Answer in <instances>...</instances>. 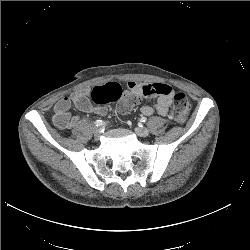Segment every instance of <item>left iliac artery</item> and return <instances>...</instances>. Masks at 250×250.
<instances>
[{"instance_id":"left-iliac-artery-1","label":"left iliac artery","mask_w":250,"mask_h":250,"mask_svg":"<svg viewBox=\"0 0 250 250\" xmlns=\"http://www.w3.org/2000/svg\"><path fill=\"white\" fill-rule=\"evenodd\" d=\"M140 121H141V122H146V121H147V118L142 117V118L140 119Z\"/></svg>"}]
</instances>
